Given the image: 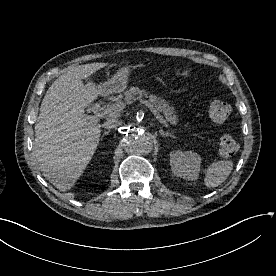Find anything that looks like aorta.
Instances as JSON below:
<instances>
[{
	"label": "aorta",
	"mask_w": 276,
	"mask_h": 276,
	"mask_svg": "<svg viewBox=\"0 0 276 276\" xmlns=\"http://www.w3.org/2000/svg\"><path fill=\"white\" fill-rule=\"evenodd\" d=\"M125 147L126 150L134 155H145L152 151V136L134 126L125 129Z\"/></svg>",
	"instance_id": "aorta-1"
}]
</instances>
